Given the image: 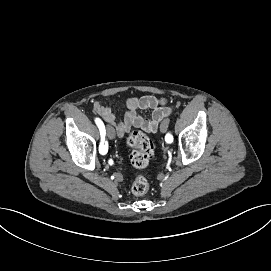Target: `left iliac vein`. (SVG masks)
Returning <instances> with one entry per match:
<instances>
[{"label": "left iliac vein", "mask_w": 271, "mask_h": 271, "mask_svg": "<svg viewBox=\"0 0 271 271\" xmlns=\"http://www.w3.org/2000/svg\"><path fill=\"white\" fill-rule=\"evenodd\" d=\"M168 124H169L168 120L162 121V123L160 124V130H161V132L164 133V132L167 131V129H168Z\"/></svg>", "instance_id": "left-iliac-vein-1"}]
</instances>
